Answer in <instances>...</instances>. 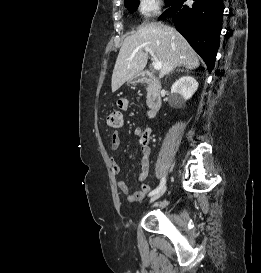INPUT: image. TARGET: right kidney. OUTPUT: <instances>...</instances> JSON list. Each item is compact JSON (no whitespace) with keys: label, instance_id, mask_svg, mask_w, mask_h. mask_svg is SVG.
<instances>
[{"label":"right kidney","instance_id":"obj_1","mask_svg":"<svg viewBox=\"0 0 261 273\" xmlns=\"http://www.w3.org/2000/svg\"><path fill=\"white\" fill-rule=\"evenodd\" d=\"M198 89V82L191 76H183L171 87V99L184 103L192 97Z\"/></svg>","mask_w":261,"mask_h":273}]
</instances>
